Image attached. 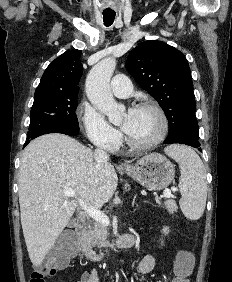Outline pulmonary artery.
Here are the masks:
<instances>
[{
	"label": "pulmonary artery",
	"instance_id": "pulmonary-artery-1",
	"mask_svg": "<svg viewBox=\"0 0 232 282\" xmlns=\"http://www.w3.org/2000/svg\"><path fill=\"white\" fill-rule=\"evenodd\" d=\"M111 91L118 98H126L132 92V84L129 78L124 74H118L111 81Z\"/></svg>",
	"mask_w": 232,
	"mask_h": 282
}]
</instances>
